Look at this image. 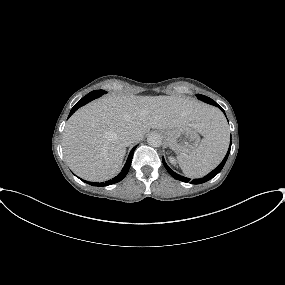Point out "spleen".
Wrapping results in <instances>:
<instances>
[{
  "label": "spleen",
  "mask_w": 285,
  "mask_h": 285,
  "mask_svg": "<svg viewBox=\"0 0 285 285\" xmlns=\"http://www.w3.org/2000/svg\"><path fill=\"white\" fill-rule=\"evenodd\" d=\"M230 133L224 117L219 114L215 128L204 136L198 147L189 155H178L183 173L190 178H200L213 170L224 158Z\"/></svg>",
  "instance_id": "spleen-1"
}]
</instances>
